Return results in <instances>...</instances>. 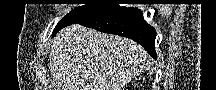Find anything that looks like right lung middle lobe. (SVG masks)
<instances>
[{"mask_svg":"<svg viewBox=\"0 0 216 90\" xmlns=\"http://www.w3.org/2000/svg\"><path fill=\"white\" fill-rule=\"evenodd\" d=\"M114 4H86L73 9L55 27L53 34L72 23L86 20L113 8Z\"/></svg>","mask_w":216,"mask_h":90,"instance_id":"right-lung-middle-lobe-1","label":"right lung middle lobe"}]
</instances>
